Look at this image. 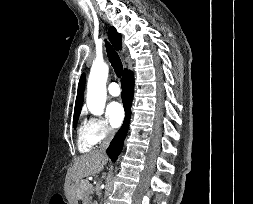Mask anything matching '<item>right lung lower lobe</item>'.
I'll return each instance as SVG.
<instances>
[{
  "instance_id": "obj_1",
  "label": "right lung lower lobe",
  "mask_w": 253,
  "mask_h": 204,
  "mask_svg": "<svg viewBox=\"0 0 253 204\" xmlns=\"http://www.w3.org/2000/svg\"><path fill=\"white\" fill-rule=\"evenodd\" d=\"M122 102L125 109V119L120 130L110 143V146L106 150L107 155L112 161H116L117 156L120 154L123 148V142L128 131L129 120L131 117V104L134 94V75L130 70L123 72L122 80Z\"/></svg>"
}]
</instances>
